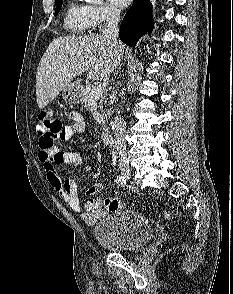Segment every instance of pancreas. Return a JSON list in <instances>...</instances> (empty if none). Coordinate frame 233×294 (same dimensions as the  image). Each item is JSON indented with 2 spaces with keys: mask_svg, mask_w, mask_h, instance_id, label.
<instances>
[{
  "mask_svg": "<svg viewBox=\"0 0 233 294\" xmlns=\"http://www.w3.org/2000/svg\"><path fill=\"white\" fill-rule=\"evenodd\" d=\"M93 87L90 84H87L83 89H82V103L86 104L88 103L93 97L91 91H92ZM96 99L100 100L99 103V107L102 110L103 106H102V101H103V97H97Z\"/></svg>",
  "mask_w": 233,
  "mask_h": 294,
  "instance_id": "obj_1",
  "label": "pancreas"
}]
</instances>
